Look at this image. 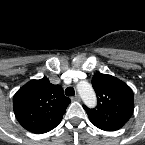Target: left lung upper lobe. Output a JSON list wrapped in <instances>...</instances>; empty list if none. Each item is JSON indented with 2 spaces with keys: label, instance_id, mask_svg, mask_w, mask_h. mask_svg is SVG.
Returning a JSON list of instances; mask_svg holds the SVG:
<instances>
[{
  "label": "left lung upper lobe",
  "instance_id": "1",
  "mask_svg": "<svg viewBox=\"0 0 145 145\" xmlns=\"http://www.w3.org/2000/svg\"><path fill=\"white\" fill-rule=\"evenodd\" d=\"M98 104L90 109L88 117L93 125L101 130L116 131L130 119L134 110V95L131 88L118 78L96 73L92 79Z\"/></svg>",
  "mask_w": 145,
  "mask_h": 145
}]
</instances>
